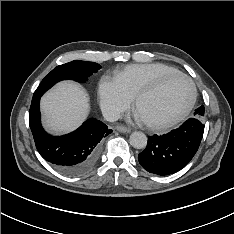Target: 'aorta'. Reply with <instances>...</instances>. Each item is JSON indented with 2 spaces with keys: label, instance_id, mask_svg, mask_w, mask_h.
<instances>
[{
  "label": "aorta",
  "instance_id": "1",
  "mask_svg": "<svg viewBox=\"0 0 234 234\" xmlns=\"http://www.w3.org/2000/svg\"><path fill=\"white\" fill-rule=\"evenodd\" d=\"M130 144L136 149H143L147 145V136L142 132L135 131L130 135Z\"/></svg>",
  "mask_w": 234,
  "mask_h": 234
}]
</instances>
